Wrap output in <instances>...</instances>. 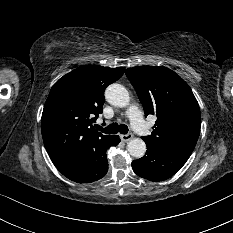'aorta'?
<instances>
[{
  "label": "aorta",
  "mask_w": 233,
  "mask_h": 233,
  "mask_svg": "<svg viewBox=\"0 0 233 233\" xmlns=\"http://www.w3.org/2000/svg\"><path fill=\"white\" fill-rule=\"evenodd\" d=\"M106 100L118 107H126L130 102V96L127 89L117 83L109 85L105 91ZM129 154L135 158H141L146 152V144L140 138H134L127 144Z\"/></svg>",
  "instance_id": "obj_1"
}]
</instances>
